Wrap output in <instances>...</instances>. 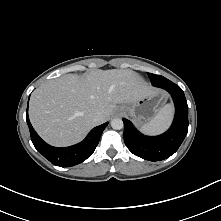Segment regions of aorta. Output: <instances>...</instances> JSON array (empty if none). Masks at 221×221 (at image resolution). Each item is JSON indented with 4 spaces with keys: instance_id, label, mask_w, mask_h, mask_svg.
I'll use <instances>...</instances> for the list:
<instances>
[{
    "instance_id": "aorta-1",
    "label": "aorta",
    "mask_w": 221,
    "mask_h": 221,
    "mask_svg": "<svg viewBox=\"0 0 221 221\" xmlns=\"http://www.w3.org/2000/svg\"><path fill=\"white\" fill-rule=\"evenodd\" d=\"M124 126L122 119L114 118L111 120V127L115 130H120Z\"/></svg>"
}]
</instances>
